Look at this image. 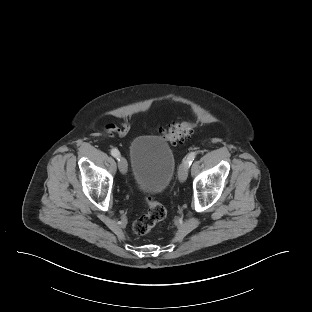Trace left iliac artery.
Listing matches in <instances>:
<instances>
[{
	"label": "left iliac artery",
	"mask_w": 312,
	"mask_h": 312,
	"mask_svg": "<svg viewBox=\"0 0 312 312\" xmlns=\"http://www.w3.org/2000/svg\"><path fill=\"white\" fill-rule=\"evenodd\" d=\"M196 157V152H191L188 154L186 160L184 161L188 166H190L193 162V160Z\"/></svg>",
	"instance_id": "1"
}]
</instances>
